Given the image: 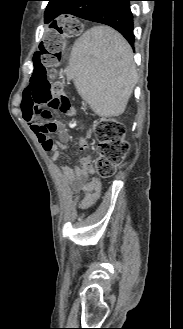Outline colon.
<instances>
[{
	"mask_svg": "<svg viewBox=\"0 0 183 329\" xmlns=\"http://www.w3.org/2000/svg\"><path fill=\"white\" fill-rule=\"evenodd\" d=\"M80 30V20L76 19V14H57V19H51V25H44V31H39V38L44 40L36 55L30 56V67L34 68L35 73L46 74H32V81L23 87L22 114H32L48 121L55 111L69 115L74 113L64 90L65 76L60 66L66 55V44H74ZM39 129L45 136L54 133L56 126L41 121ZM95 134L98 141L95 169L100 177L108 178L128 153L125 127L115 119H103L97 122ZM51 146L52 140L46 139L44 147L49 149Z\"/></svg>",
	"mask_w": 183,
	"mask_h": 329,
	"instance_id": "5ec220e1",
	"label": "colon"
}]
</instances>
